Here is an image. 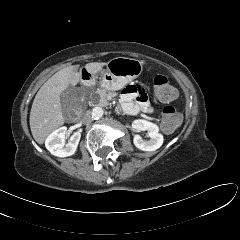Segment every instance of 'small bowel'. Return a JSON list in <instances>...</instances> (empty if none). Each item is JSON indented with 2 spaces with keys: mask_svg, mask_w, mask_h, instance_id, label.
I'll list each match as a JSON object with an SVG mask.
<instances>
[{
  "mask_svg": "<svg viewBox=\"0 0 240 240\" xmlns=\"http://www.w3.org/2000/svg\"><path fill=\"white\" fill-rule=\"evenodd\" d=\"M122 109L130 115L139 112L153 113L155 109L151 106L145 90L136 84H130L124 88L120 97Z\"/></svg>",
  "mask_w": 240,
  "mask_h": 240,
  "instance_id": "1",
  "label": "small bowel"
}]
</instances>
